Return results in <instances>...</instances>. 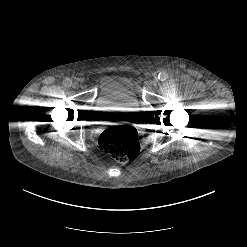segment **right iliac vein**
<instances>
[{
	"instance_id": "1",
	"label": "right iliac vein",
	"mask_w": 247,
	"mask_h": 247,
	"mask_svg": "<svg viewBox=\"0 0 247 247\" xmlns=\"http://www.w3.org/2000/svg\"><path fill=\"white\" fill-rule=\"evenodd\" d=\"M79 86H80V85H79L78 82H74L73 85H72V87H73L74 89H78Z\"/></svg>"
}]
</instances>
